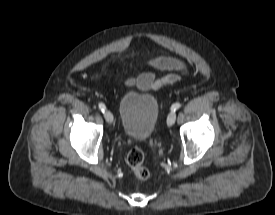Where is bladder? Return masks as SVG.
I'll return each mask as SVG.
<instances>
[{
  "label": "bladder",
  "instance_id": "obj_1",
  "mask_svg": "<svg viewBox=\"0 0 275 215\" xmlns=\"http://www.w3.org/2000/svg\"><path fill=\"white\" fill-rule=\"evenodd\" d=\"M119 116L124 135L131 140H148L156 127L159 103L152 94L129 91L119 101Z\"/></svg>",
  "mask_w": 275,
  "mask_h": 215
}]
</instances>
